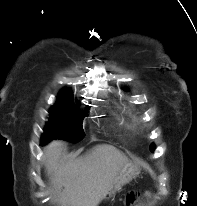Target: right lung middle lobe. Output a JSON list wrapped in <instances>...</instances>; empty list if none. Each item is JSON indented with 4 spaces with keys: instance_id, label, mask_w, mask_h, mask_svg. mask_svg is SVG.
<instances>
[{
    "instance_id": "obj_1",
    "label": "right lung middle lobe",
    "mask_w": 197,
    "mask_h": 206,
    "mask_svg": "<svg viewBox=\"0 0 197 206\" xmlns=\"http://www.w3.org/2000/svg\"><path fill=\"white\" fill-rule=\"evenodd\" d=\"M83 117L72 102L71 96H60L56 105L50 110L42 137V145L52 139H66L72 142L81 140L85 133L82 129Z\"/></svg>"
}]
</instances>
